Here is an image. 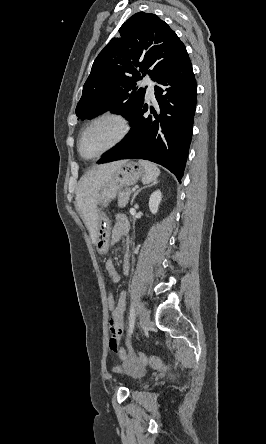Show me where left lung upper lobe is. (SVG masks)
<instances>
[{
	"instance_id": "obj_1",
	"label": "left lung upper lobe",
	"mask_w": 266,
	"mask_h": 444,
	"mask_svg": "<svg viewBox=\"0 0 266 444\" xmlns=\"http://www.w3.org/2000/svg\"><path fill=\"white\" fill-rule=\"evenodd\" d=\"M119 33L93 63L76 107L81 120L108 110L131 120L144 103L145 89L135 87L136 82L146 74L157 81L187 53L176 33L155 14H134Z\"/></svg>"
}]
</instances>
